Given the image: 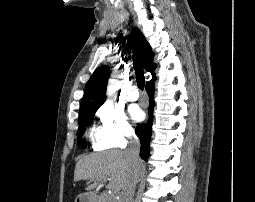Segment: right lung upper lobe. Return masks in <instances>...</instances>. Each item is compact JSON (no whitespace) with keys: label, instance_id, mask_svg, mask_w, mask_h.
<instances>
[{"label":"right lung upper lobe","instance_id":"right-lung-upper-lobe-1","mask_svg":"<svg viewBox=\"0 0 255 202\" xmlns=\"http://www.w3.org/2000/svg\"><path fill=\"white\" fill-rule=\"evenodd\" d=\"M132 47H135L138 50L145 70L149 71L153 75L152 80L148 82L152 83L156 79L153 73L156 65L152 62L154 53L152 52L151 47L144 35L138 28H134L129 36L127 48L131 49ZM108 78V66H101L94 71L86 84L80 111L87 109H98L104 103L106 99L105 93Z\"/></svg>","mask_w":255,"mask_h":202}]
</instances>
